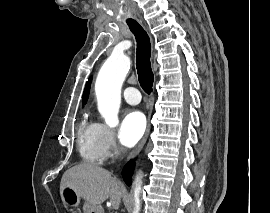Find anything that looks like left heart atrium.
I'll return each instance as SVG.
<instances>
[{"label":"left heart atrium","instance_id":"39dd6f15","mask_svg":"<svg viewBox=\"0 0 270 213\" xmlns=\"http://www.w3.org/2000/svg\"><path fill=\"white\" fill-rule=\"evenodd\" d=\"M145 130L146 119L143 113L138 110L128 111L119 128V141L125 147H132L143 137Z\"/></svg>","mask_w":270,"mask_h":213}]
</instances>
